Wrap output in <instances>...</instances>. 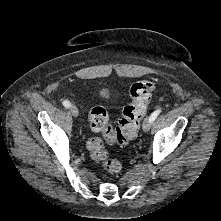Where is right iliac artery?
<instances>
[{"label": "right iliac artery", "mask_w": 221, "mask_h": 221, "mask_svg": "<svg viewBox=\"0 0 221 221\" xmlns=\"http://www.w3.org/2000/svg\"><path fill=\"white\" fill-rule=\"evenodd\" d=\"M63 106H64L65 108H70V107H71V103H70L68 100H64V101H63Z\"/></svg>", "instance_id": "right-iliac-artery-1"}]
</instances>
